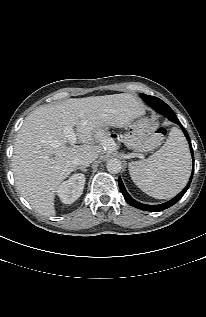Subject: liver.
<instances>
[{"instance_id": "6515ba94", "label": "liver", "mask_w": 206, "mask_h": 317, "mask_svg": "<svg viewBox=\"0 0 206 317\" xmlns=\"http://www.w3.org/2000/svg\"><path fill=\"white\" fill-rule=\"evenodd\" d=\"M144 114L142 104L127 93L38 107L25 118L14 143L12 171L18 191L38 213L55 215V192L76 170L75 159L101 151L96 142L104 138L98 131L107 126L124 128ZM67 126L75 127L82 145L67 146Z\"/></svg>"}]
</instances>
